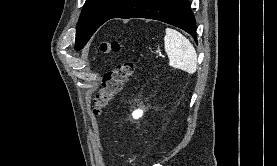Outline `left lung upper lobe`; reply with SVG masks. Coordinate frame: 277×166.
Instances as JSON below:
<instances>
[{
	"label": "left lung upper lobe",
	"mask_w": 277,
	"mask_h": 166,
	"mask_svg": "<svg viewBox=\"0 0 277 166\" xmlns=\"http://www.w3.org/2000/svg\"><path fill=\"white\" fill-rule=\"evenodd\" d=\"M133 0H86L76 29L75 50H80L94 32Z\"/></svg>",
	"instance_id": "1"
}]
</instances>
